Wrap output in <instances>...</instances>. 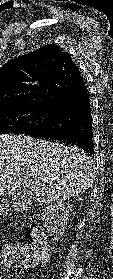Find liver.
<instances>
[{
  "label": "liver",
  "mask_w": 113,
  "mask_h": 279,
  "mask_svg": "<svg viewBox=\"0 0 113 279\" xmlns=\"http://www.w3.org/2000/svg\"><path fill=\"white\" fill-rule=\"evenodd\" d=\"M95 177L93 160L77 147L0 135V196L55 205L84 193Z\"/></svg>",
  "instance_id": "liver-1"
}]
</instances>
